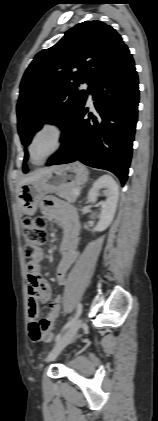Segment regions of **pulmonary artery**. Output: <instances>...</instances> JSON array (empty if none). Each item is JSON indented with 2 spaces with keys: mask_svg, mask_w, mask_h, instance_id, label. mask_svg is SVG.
<instances>
[{
  "mask_svg": "<svg viewBox=\"0 0 158 421\" xmlns=\"http://www.w3.org/2000/svg\"><path fill=\"white\" fill-rule=\"evenodd\" d=\"M85 88H88V85H86ZM89 101L90 102L92 101V94L91 93L89 94Z\"/></svg>",
  "mask_w": 158,
  "mask_h": 421,
  "instance_id": "e3ab8cb5",
  "label": "pulmonary artery"
}]
</instances>
